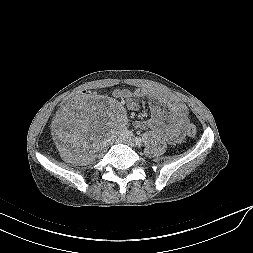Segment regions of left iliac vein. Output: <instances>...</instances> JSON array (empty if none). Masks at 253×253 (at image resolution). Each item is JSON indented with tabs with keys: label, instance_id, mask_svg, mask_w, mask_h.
Listing matches in <instances>:
<instances>
[{
	"label": "left iliac vein",
	"instance_id": "1",
	"mask_svg": "<svg viewBox=\"0 0 253 253\" xmlns=\"http://www.w3.org/2000/svg\"><path fill=\"white\" fill-rule=\"evenodd\" d=\"M124 142L126 143V144H128L129 146H131V147H135L136 145H135V141L133 140V138H131V137H126L125 139H124Z\"/></svg>",
	"mask_w": 253,
	"mask_h": 253
}]
</instances>
